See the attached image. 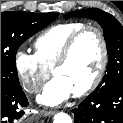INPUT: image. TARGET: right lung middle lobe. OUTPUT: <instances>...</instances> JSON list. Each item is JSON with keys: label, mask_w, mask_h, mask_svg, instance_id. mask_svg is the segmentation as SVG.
Masks as SVG:
<instances>
[{"label": "right lung middle lobe", "mask_w": 123, "mask_h": 123, "mask_svg": "<svg viewBox=\"0 0 123 123\" xmlns=\"http://www.w3.org/2000/svg\"><path fill=\"white\" fill-rule=\"evenodd\" d=\"M57 16L56 13H1V87H20L15 62L17 49Z\"/></svg>", "instance_id": "obj_1"}]
</instances>
